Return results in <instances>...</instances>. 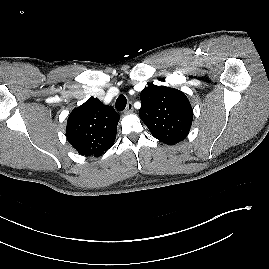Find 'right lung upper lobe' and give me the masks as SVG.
<instances>
[{
  "instance_id": "right-lung-upper-lobe-1",
  "label": "right lung upper lobe",
  "mask_w": 269,
  "mask_h": 269,
  "mask_svg": "<svg viewBox=\"0 0 269 269\" xmlns=\"http://www.w3.org/2000/svg\"><path fill=\"white\" fill-rule=\"evenodd\" d=\"M119 119L113 107L89 99L69 115L67 140L81 155L99 157L113 145Z\"/></svg>"
}]
</instances>
